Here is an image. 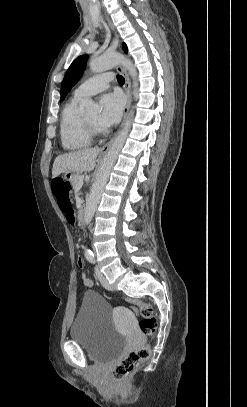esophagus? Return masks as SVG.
I'll return each mask as SVG.
<instances>
[{"label":"esophagus","instance_id":"1","mask_svg":"<svg viewBox=\"0 0 247 407\" xmlns=\"http://www.w3.org/2000/svg\"><path fill=\"white\" fill-rule=\"evenodd\" d=\"M108 24L111 27V29L114 31V26L110 20H108ZM116 70L118 72H120L123 75V77L125 78L124 90H125V93L127 96V103L124 108L123 122L121 124V127H122L125 122V119H126V116H127L130 104H131L130 79H129V76H128L126 70L121 65H117ZM113 140H114V138H112L108 143H106L104 146H102L101 151H107L111 147Z\"/></svg>","mask_w":247,"mask_h":407}]
</instances>
